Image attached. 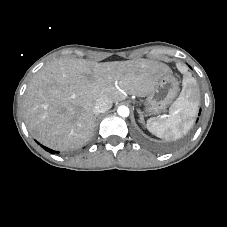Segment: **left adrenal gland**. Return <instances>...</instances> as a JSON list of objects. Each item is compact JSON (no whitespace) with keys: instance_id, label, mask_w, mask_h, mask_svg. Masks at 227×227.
<instances>
[{"instance_id":"1","label":"left adrenal gland","mask_w":227,"mask_h":227,"mask_svg":"<svg viewBox=\"0 0 227 227\" xmlns=\"http://www.w3.org/2000/svg\"><path fill=\"white\" fill-rule=\"evenodd\" d=\"M138 113H139V117L140 119L138 120L140 123H144V117L142 115V112L140 110H138Z\"/></svg>"}]
</instances>
